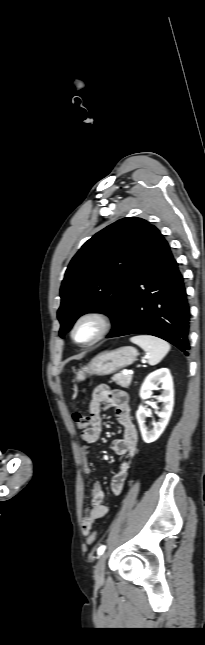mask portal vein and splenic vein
Wrapping results in <instances>:
<instances>
[{
  "label": "portal vein and splenic vein",
  "mask_w": 205,
  "mask_h": 645,
  "mask_svg": "<svg viewBox=\"0 0 205 645\" xmlns=\"http://www.w3.org/2000/svg\"><path fill=\"white\" fill-rule=\"evenodd\" d=\"M132 373H133V372H130V371H128V370H124V371H123V374H124V375L132 374Z\"/></svg>",
  "instance_id": "obj_1"
}]
</instances>
